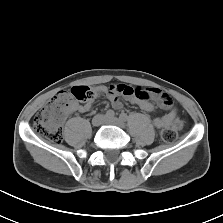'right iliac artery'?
I'll return each instance as SVG.
<instances>
[{
  "mask_svg": "<svg viewBox=\"0 0 223 223\" xmlns=\"http://www.w3.org/2000/svg\"><path fill=\"white\" fill-rule=\"evenodd\" d=\"M114 115H115V113H114L113 110H108V111L106 112V117H107V118H113Z\"/></svg>",
  "mask_w": 223,
  "mask_h": 223,
  "instance_id": "right-iliac-artery-1",
  "label": "right iliac artery"
}]
</instances>
